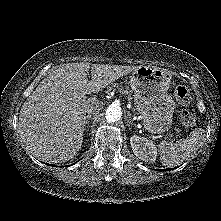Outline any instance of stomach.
<instances>
[{
    "label": "stomach",
    "instance_id": "stomach-1",
    "mask_svg": "<svg viewBox=\"0 0 221 221\" xmlns=\"http://www.w3.org/2000/svg\"><path fill=\"white\" fill-rule=\"evenodd\" d=\"M136 110L151 133H163L172 123L176 104L168 94L171 74L158 67L139 66L130 76Z\"/></svg>",
    "mask_w": 221,
    "mask_h": 221
}]
</instances>
